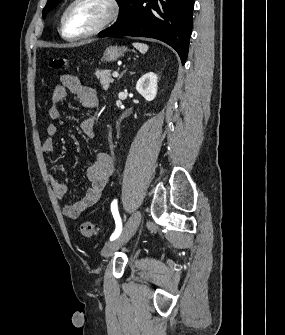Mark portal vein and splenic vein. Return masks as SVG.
Here are the masks:
<instances>
[{"label":"portal vein and splenic vein","mask_w":285,"mask_h":335,"mask_svg":"<svg viewBox=\"0 0 285 335\" xmlns=\"http://www.w3.org/2000/svg\"><path fill=\"white\" fill-rule=\"evenodd\" d=\"M112 76H113V78H118L119 74H118V72H113Z\"/></svg>","instance_id":"1"}]
</instances>
